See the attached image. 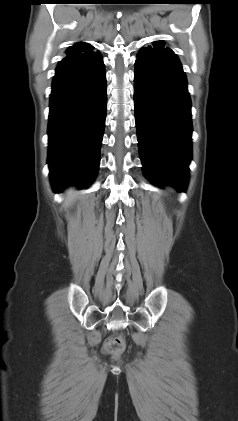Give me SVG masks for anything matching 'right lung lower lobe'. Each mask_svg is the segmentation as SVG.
I'll list each match as a JSON object with an SVG mask.
<instances>
[{"label": "right lung lower lobe", "mask_w": 238, "mask_h": 421, "mask_svg": "<svg viewBox=\"0 0 238 421\" xmlns=\"http://www.w3.org/2000/svg\"><path fill=\"white\" fill-rule=\"evenodd\" d=\"M106 78L99 53L67 55L50 97L48 164L55 192L95 179L106 117Z\"/></svg>", "instance_id": "98d812e1"}]
</instances>
